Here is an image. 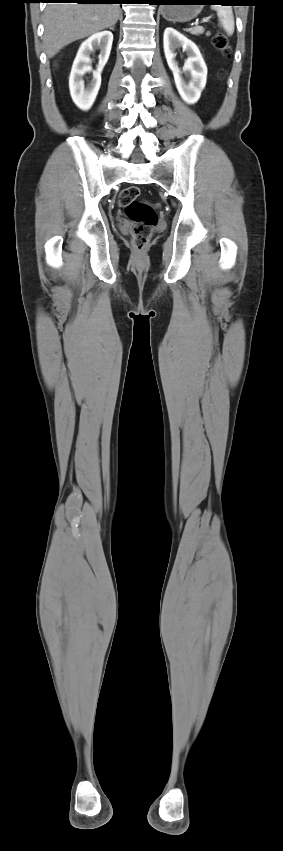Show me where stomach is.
I'll return each instance as SVG.
<instances>
[{
	"label": "stomach",
	"mask_w": 283,
	"mask_h": 851,
	"mask_svg": "<svg viewBox=\"0 0 283 851\" xmlns=\"http://www.w3.org/2000/svg\"><path fill=\"white\" fill-rule=\"evenodd\" d=\"M162 6L160 13L168 21L186 22L195 18L202 10L203 0H171Z\"/></svg>",
	"instance_id": "0dacf381"
}]
</instances>
